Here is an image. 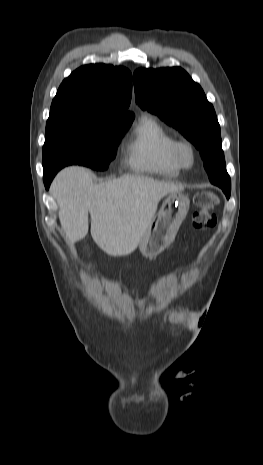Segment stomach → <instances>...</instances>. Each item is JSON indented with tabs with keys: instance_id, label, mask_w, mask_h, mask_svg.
I'll use <instances>...</instances> for the list:
<instances>
[{
	"instance_id": "stomach-1",
	"label": "stomach",
	"mask_w": 263,
	"mask_h": 465,
	"mask_svg": "<svg viewBox=\"0 0 263 465\" xmlns=\"http://www.w3.org/2000/svg\"><path fill=\"white\" fill-rule=\"evenodd\" d=\"M189 205L188 197L181 192L168 194L140 240L143 256L154 258L167 248L186 217Z\"/></svg>"
}]
</instances>
